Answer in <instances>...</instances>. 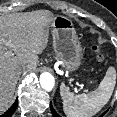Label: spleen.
Segmentation results:
<instances>
[{
  "label": "spleen",
  "mask_w": 117,
  "mask_h": 117,
  "mask_svg": "<svg viewBox=\"0 0 117 117\" xmlns=\"http://www.w3.org/2000/svg\"><path fill=\"white\" fill-rule=\"evenodd\" d=\"M116 83V72L109 67L99 87L88 94L74 95L64 84L60 87L63 110L67 117H92L107 104Z\"/></svg>",
  "instance_id": "1"
}]
</instances>
